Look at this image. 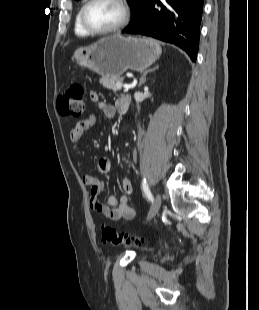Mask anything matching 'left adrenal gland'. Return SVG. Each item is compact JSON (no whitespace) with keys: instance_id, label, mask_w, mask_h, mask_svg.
Wrapping results in <instances>:
<instances>
[{"instance_id":"obj_1","label":"left adrenal gland","mask_w":259,"mask_h":310,"mask_svg":"<svg viewBox=\"0 0 259 310\" xmlns=\"http://www.w3.org/2000/svg\"><path fill=\"white\" fill-rule=\"evenodd\" d=\"M158 68H159V66H156L154 69L148 70V71L144 72V74H143L142 77L140 78V82H139V84H138V87H141L143 84H145V82H146V75H147L148 73L153 72V71H155V70L158 69Z\"/></svg>"}]
</instances>
